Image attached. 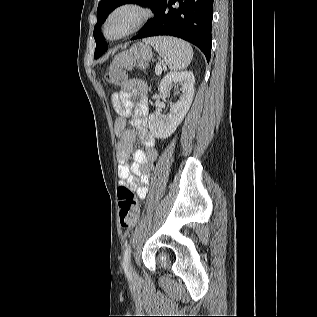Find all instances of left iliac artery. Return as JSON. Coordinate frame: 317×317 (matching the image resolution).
<instances>
[{
	"label": "left iliac artery",
	"instance_id": "obj_1",
	"mask_svg": "<svg viewBox=\"0 0 317 317\" xmlns=\"http://www.w3.org/2000/svg\"><path fill=\"white\" fill-rule=\"evenodd\" d=\"M130 253H131V246L128 245L126 247V250H125L124 256H123V268H124V271H125L126 275H129Z\"/></svg>",
	"mask_w": 317,
	"mask_h": 317
}]
</instances>
